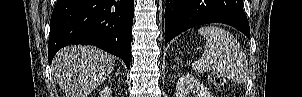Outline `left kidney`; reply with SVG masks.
<instances>
[{
    "label": "left kidney",
    "mask_w": 302,
    "mask_h": 97,
    "mask_svg": "<svg viewBox=\"0 0 302 97\" xmlns=\"http://www.w3.org/2000/svg\"><path fill=\"white\" fill-rule=\"evenodd\" d=\"M177 97H212L208 89L191 75H182L176 84Z\"/></svg>",
    "instance_id": "obj_1"
}]
</instances>
